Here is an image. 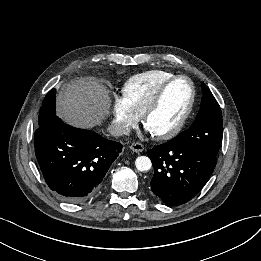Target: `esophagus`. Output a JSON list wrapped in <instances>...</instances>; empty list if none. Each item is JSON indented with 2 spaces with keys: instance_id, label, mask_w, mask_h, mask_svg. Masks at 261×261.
Instances as JSON below:
<instances>
[{
  "instance_id": "esophagus-1",
  "label": "esophagus",
  "mask_w": 261,
  "mask_h": 261,
  "mask_svg": "<svg viewBox=\"0 0 261 261\" xmlns=\"http://www.w3.org/2000/svg\"><path fill=\"white\" fill-rule=\"evenodd\" d=\"M131 150L136 152V153H140L144 150V146L141 143H133L130 146Z\"/></svg>"
}]
</instances>
